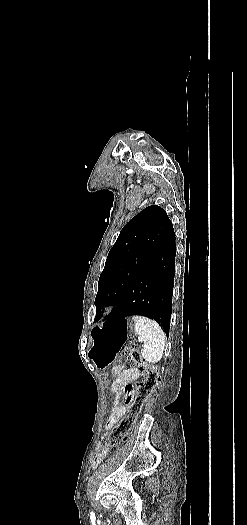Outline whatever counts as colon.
<instances>
[{"instance_id":"5ec220e1","label":"colon","mask_w":247,"mask_h":525,"mask_svg":"<svg viewBox=\"0 0 247 525\" xmlns=\"http://www.w3.org/2000/svg\"><path fill=\"white\" fill-rule=\"evenodd\" d=\"M121 360L123 362H131L134 366L141 369L143 376L137 383L136 393L126 396V414L110 430L106 438L107 447H117L127 439L133 430L137 418L141 414L144 404L160 384L157 365L146 362L134 342L126 345L121 355ZM111 373L113 376L119 377L122 375L123 370L121 367L115 366L112 368Z\"/></svg>"}]
</instances>
